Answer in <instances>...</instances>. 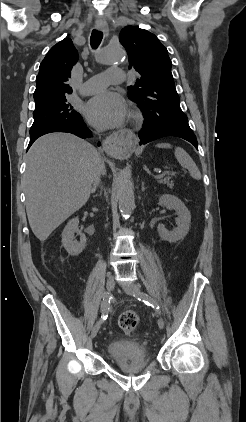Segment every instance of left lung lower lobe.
<instances>
[{"instance_id": "0a47b994", "label": "left lung lower lobe", "mask_w": 246, "mask_h": 422, "mask_svg": "<svg viewBox=\"0 0 246 422\" xmlns=\"http://www.w3.org/2000/svg\"><path fill=\"white\" fill-rule=\"evenodd\" d=\"M167 136L183 138L198 149L196 136L191 130L188 122H169L152 127H148L144 124L143 129L139 132V144L143 145Z\"/></svg>"}]
</instances>
